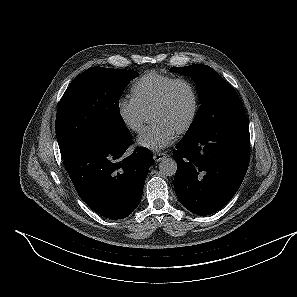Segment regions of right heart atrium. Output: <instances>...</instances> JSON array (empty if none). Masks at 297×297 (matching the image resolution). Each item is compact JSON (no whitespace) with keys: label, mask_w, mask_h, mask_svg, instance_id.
<instances>
[{"label":"right heart atrium","mask_w":297,"mask_h":297,"mask_svg":"<svg viewBox=\"0 0 297 297\" xmlns=\"http://www.w3.org/2000/svg\"><path fill=\"white\" fill-rule=\"evenodd\" d=\"M116 108L119 120L128 131L139 134L143 130L147 114L133 98H119Z\"/></svg>","instance_id":"d8ad5b80"}]
</instances>
